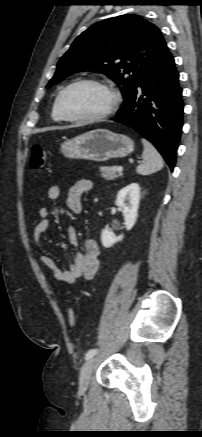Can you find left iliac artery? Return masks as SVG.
<instances>
[{
	"label": "left iliac artery",
	"mask_w": 202,
	"mask_h": 437,
	"mask_svg": "<svg viewBox=\"0 0 202 437\" xmlns=\"http://www.w3.org/2000/svg\"><path fill=\"white\" fill-rule=\"evenodd\" d=\"M97 353V349H91L85 354V360L92 358Z\"/></svg>",
	"instance_id": "obj_1"
}]
</instances>
